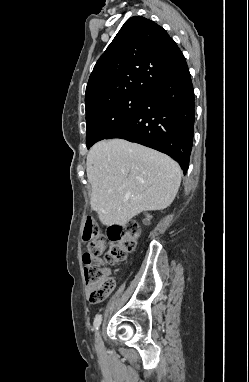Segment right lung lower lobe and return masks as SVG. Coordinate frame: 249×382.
<instances>
[{
  "instance_id": "98d812e1",
  "label": "right lung lower lobe",
  "mask_w": 249,
  "mask_h": 382,
  "mask_svg": "<svg viewBox=\"0 0 249 382\" xmlns=\"http://www.w3.org/2000/svg\"><path fill=\"white\" fill-rule=\"evenodd\" d=\"M193 85L187 64L156 85L136 115L106 139L121 138L163 152L186 174L193 145Z\"/></svg>"
}]
</instances>
